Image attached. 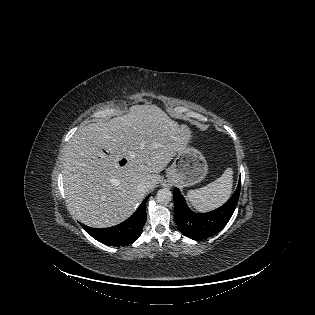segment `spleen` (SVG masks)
Returning <instances> with one entry per match:
<instances>
[{"mask_svg":"<svg viewBox=\"0 0 315 315\" xmlns=\"http://www.w3.org/2000/svg\"><path fill=\"white\" fill-rule=\"evenodd\" d=\"M233 185V171L227 168L221 177L208 185L187 192V199L200 212H206L223 205L230 197Z\"/></svg>","mask_w":315,"mask_h":315,"instance_id":"spleen-1","label":"spleen"}]
</instances>
